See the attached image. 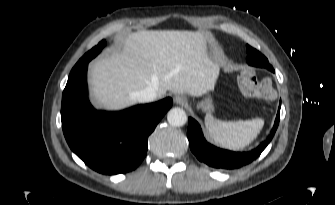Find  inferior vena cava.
<instances>
[{
  "instance_id": "obj_1",
  "label": "inferior vena cava",
  "mask_w": 335,
  "mask_h": 205,
  "mask_svg": "<svg viewBox=\"0 0 335 205\" xmlns=\"http://www.w3.org/2000/svg\"><path fill=\"white\" fill-rule=\"evenodd\" d=\"M133 97L139 102H151L157 98V91L152 87H147L141 91L134 92Z\"/></svg>"
}]
</instances>
